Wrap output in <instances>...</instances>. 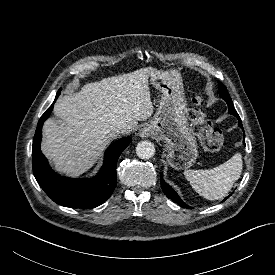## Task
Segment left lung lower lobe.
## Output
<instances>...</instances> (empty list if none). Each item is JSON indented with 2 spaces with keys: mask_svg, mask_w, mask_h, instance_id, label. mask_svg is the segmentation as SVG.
<instances>
[{
  "mask_svg": "<svg viewBox=\"0 0 275 275\" xmlns=\"http://www.w3.org/2000/svg\"><path fill=\"white\" fill-rule=\"evenodd\" d=\"M227 104H228V108H229V113L236 116L238 118V125L239 127L242 128L243 130V126H242V122H241V119L238 115V113L236 112V110L234 109V106H233V103H232V100L230 97H226V98H223ZM245 143V141H244ZM160 183H161V187H162V190L163 192L165 193V195L172 199L173 201L177 202L181 207H184V208H190L188 205H186L181 199L180 197L178 196V194L172 189L171 186H169L165 181L164 179L162 178V176L160 177ZM229 197V196H228ZM228 197H226L224 200H226ZM223 200V201H224Z\"/></svg>",
  "mask_w": 275,
  "mask_h": 275,
  "instance_id": "obj_1",
  "label": "left lung lower lobe"
}]
</instances>
